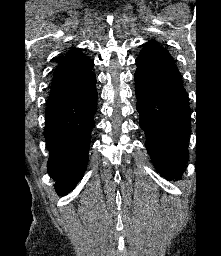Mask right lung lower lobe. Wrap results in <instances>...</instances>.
Here are the masks:
<instances>
[{
    "label": "right lung lower lobe",
    "instance_id": "right-lung-lower-lobe-1",
    "mask_svg": "<svg viewBox=\"0 0 221 256\" xmlns=\"http://www.w3.org/2000/svg\"><path fill=\"white\" fill-rule=\"evenodd\" d=\"M97 90L69 101L47 105L45 139L49 175L59 195H66L82 177L88 160L90 135L97 111Z\"/></svg>",
    "mask_w": 221,
    "mask_h": 256
}]
</instances>
